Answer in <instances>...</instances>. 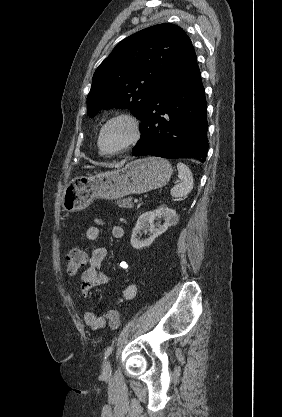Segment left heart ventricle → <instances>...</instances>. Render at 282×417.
Here are the masks:
<instances>
[{
  "label": "left heart ventricle",
  "instance_id": "obj_1",
  "mask_svg": "<svg viewBox=\"0 0 282 417\" xmlns=\"http://www.w3.org/2000/svg\"><path fill=\"white\" fill-rule=\"evenodd\" d=\"M127 136V130L123 126L111 128L103 137L102 145L105 150H112L124 141Z\"/></svg>",
  "mask_w": 282,
  "mask_h": 417
}]
</instances>
